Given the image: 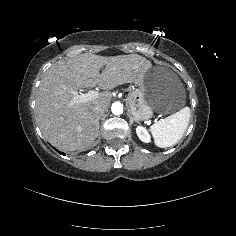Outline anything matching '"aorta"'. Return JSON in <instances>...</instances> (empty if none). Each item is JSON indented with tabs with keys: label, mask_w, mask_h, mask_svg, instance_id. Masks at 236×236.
Listing matches in <instances>:
<instances>
[{
	"label": "aorta",
	"mask_w": 236,
	"mask_h": 236,
	"mask_svg": "<svg viewBox=\"0 0 236 236\" xmlns=\"http://www.w3.org/2000/svg\"><path fill=\"white\" fill-rule=\"evenodd\" d=\"M111 109L114 115H120L123 113V105L120 102L113 103Z\"/></svg>",
	"instance_id": "obj_1"
}]
</instances>
